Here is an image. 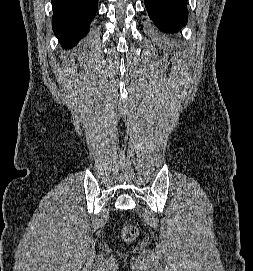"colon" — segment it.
Segmentation results:
<instances>
[{
    "label": "colon",
    "instance_id": "5ec220e1",
    "mask_svg": "<svg viewBox=\"0 0 253 271\" xmlns=\"http://www.w3.org/2000/svg\"><path fill=\"white\" fill-rule=\"evenodd\" d=\"M138 235V230L135 226L125 225L122 230V236L126 241H132Z\"/></svg>",
    "mask_w": 253,
    "mask_h": 271
}]
</instances>
